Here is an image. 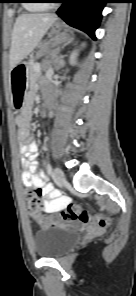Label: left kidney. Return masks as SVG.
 Listing matches in <instances>:
<instances>
[{
    "label": "left kidney",
    "instance_id": "5707ae66",
    "mask_svg": "<svg viewBox=\"0 0 136 296\" xmlns=\"http://www.w3.org/2000/svg\"><path fill=\"white\" fill-rule=\"evenodd\" d=\"M75 55H76V52H73L72 55H71V62L74 61V59H75Z\"/></svg>",
    "mask_w": 136,
    "mask_h": 296
}]
</instances>
